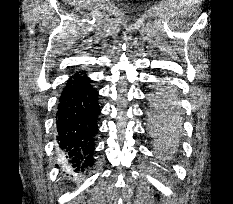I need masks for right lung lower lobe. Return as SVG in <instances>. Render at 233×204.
Here are the masks:
<instances>
[{
	"mask_svg": "<svg viewBox=\"0 0 233 204\" xmlns=\"http://www.w3.org/2000/svg\"><path fill=\"white\" fill-rule=\"evenodd\" d=\"M90 83L89 78L78 73L70 78L62 90L56 114L59 146L77 170L94 162L93 136L98 129L100 108L99 95Z\"/></svg>",
	"mask_w": 233,
	"mask_h": 204,
	"instance_id": "right-lung-lower-lobe-1",
	"label": "right lung lower lobe"
}]
</instances>
